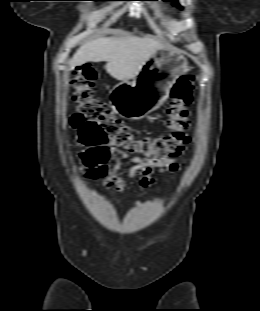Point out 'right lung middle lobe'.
<instances>
[{"mask_svg": "<svg viewBox=\"0 0 260 311\" xmlns=\"http://www.w3.org/2000/svg\"><path fill=\"white\" fill-rule=\"evenodd\" d=\"M92 1H114V0H92Z\"/></svg>", "mask_w": 260, "mask_h": 311, "instance_id": "obj_1", "label": "right lung middle lobe"}]
</instances>
